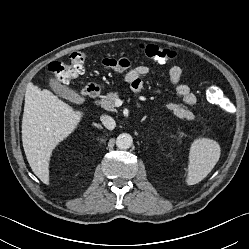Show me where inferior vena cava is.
<instances>
[{"label":"inferior vena cava","instance_id":"inferior-vena-cava-1","mask_svg":"<svg viewBox=\"0 0 249 249\" xmlns=\"http://www.w3.org/2000/svg\"><path fill=\"white\" fill-rule=\"evenodd\" d=\"M100 120L108 130H113L116 126L115 120L111 116L102 115Z\"/></svg>","mask_w":249,"mask_h":249}]
</instances>
